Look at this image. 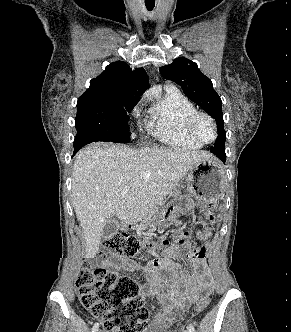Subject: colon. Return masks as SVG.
Wrapping results in <instances>:
<instances>
[{
    "instance_id": "colon-1",
    "label": "colon",
    "mask_w": 291,
    "mask_h": 332,
    "mask_svg": "<svg viewBox=\"0 0 291 332\" xmlns=\"http://www.w3.org/2000/svg\"><path fill=\"white\" fill-rule=\"evenodd\" d=\"M210 226L201 231V239L209 237L218 223L217 213H208ZM142 239L135 234L115 233L107 237L97 260L108 257H134L140 254ZM76 287L82 305L95 317L102 319L105 332H149V312L140 294L139 284L132 278L120 276L104 267L82 268L76 279ZM210 297L202 296L195 312L203 311ZM171 332H178L176 329Z\"/></svg>"
}]
</instances>
